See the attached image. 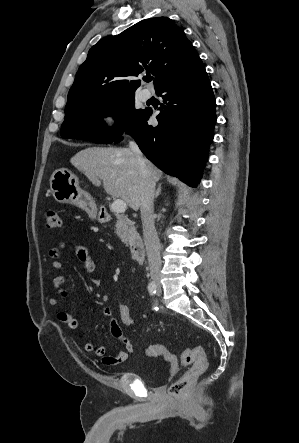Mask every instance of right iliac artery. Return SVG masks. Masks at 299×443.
Wrapping results in <instances>:
<instances>
[{"mask_svg": "<svg viewBox=\"0 0 299 443\" xmlns=\"http://www.w3.org/2000/svg\"><path fill=\"white\" fill-rule=\"evenodd\" d=\"M148 291H149V293H150L151 295H155V294H156V292H157V286H156V284H155L154 281H151V282L148 284Z\"/></svg>", "mask_w": 299, "mask_h": 443, "instance_id": "1", "label": "right iliac artery"}]
</instances>
